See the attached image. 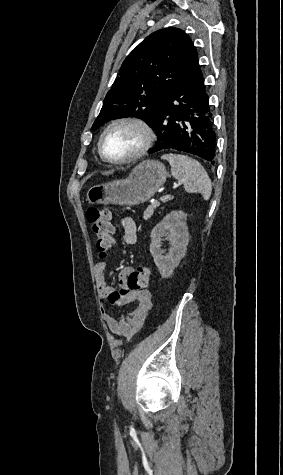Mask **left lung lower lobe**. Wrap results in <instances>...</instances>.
<instances>
[{"label":"left lung lower lobe","instance_id":"obj_1","mask_svg":"<svg viewBox=\"0 0 283 475\" xmlns=\"http://www.w3.org/2000/svg\"><path fill=\"white\" fill-rule=\"evenodd\" d=\"M201 69L179 80L166 94L151 123L158 140L150 153L176 149L214 164L216 134Z\"/></svg>","mask_w":283,"mask_h":475}]
</instances>
